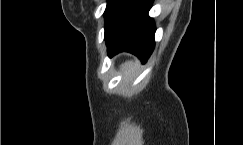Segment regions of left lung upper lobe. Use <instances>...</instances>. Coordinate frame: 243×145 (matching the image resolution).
I'll return each mask as SVG.
<instances>
[{
	"mask_svg": "<svg viewBox=\"0 0 243 145\" xmlns=\"http://www.w3.org/2000/svg\"><path fill=\"white\" fill-rule=\"evenodd\" d=\"M130 0H108L107 7L104 12L105 17V34L111 28L114 20L128 4Z\"/></svg>",
	"mask_w": 243,
	"mask_h": 145,
	"instance_id": "left-lung-upper-lobe-1",
	"label": "left lung upper lobe"
}]
</instances>
